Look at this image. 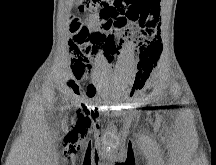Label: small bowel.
<instances>
[{"label":"small bowel","instance_id":"small-bowel-1","mask_svg":"<svg viewBox=\"0 0 216 165\" xmlns=\"http://www.w3.org/2000/svg\"><path fill=\"white\" fill-rule=\"evenodd\" d=\"M158 5L159 0H134L127 8H125V5H120L118 9L101 8L97 23V35L106 40L104 52L108 62L114 60V57L122 50L125 41L134 35L131 24L138 23L142 35L146 34L148 30L156 28ZM71 70L72 80L69 81L68 85L76 94H79L75 81L81 80L85 76L87 69L82 61L73 60ZM145 81L146 77L143 75L136 76L129 96H136L143 88ZM94 95L95 89L87 88L85 96L92 98Z\"/></svg>","mask_w":216,"mask_h":165}]
</instances>
